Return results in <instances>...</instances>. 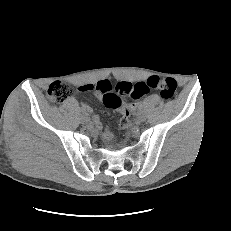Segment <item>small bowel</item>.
I'll return each instance as SVG.
<instances>
[{"label":"small bowel","instance_id":"small-bowel-1","mask_svg":"<svg viewBox=\"0 0 231 231\" xmlns=\"http://www.w3.org/2000/svg\"><path fill=\"white\" fill-rule=\"evenodd\" d=\"M95 85L96 84H82V85H80L78 87V92H89V91L96 92L95 89H94ZM98 94H100V93H98ZM85 107L88 108L87 106H85ZM122 107L127 108L130 111H133L135 109V104H126V103H123ZM104 136L107 139H110L112 137L111 132H110L109 129H107L105 131Z\"/></svg>","mask_w":231,"mask_h":231}]
</instances>
